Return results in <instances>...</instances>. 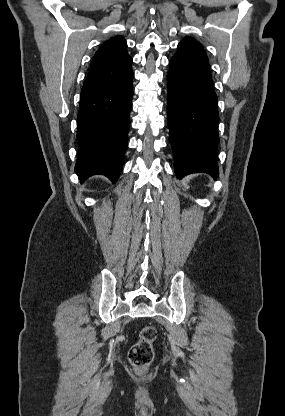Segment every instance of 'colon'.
Instances as JSON below:
<instances>
[{"label":"colon","instance_id":"obj_1","mask_svg":"<svg viewBox=\"0 0 285 416\" xmlns=\"http://www.w3.org/2000/svg\"><path fill=\"white\" fill-rule=\"evenodd\" d=\"M156 330L153 326H145L139 334L137 342L129 350V361L140 373L147 370L154 358L153 342Z\"/></svg>","mask_w":285,"mask_h":416}]
</instances>
